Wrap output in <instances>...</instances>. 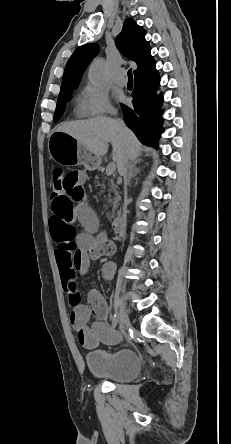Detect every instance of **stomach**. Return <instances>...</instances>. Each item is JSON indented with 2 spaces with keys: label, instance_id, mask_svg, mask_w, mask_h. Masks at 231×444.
I'll list each match as a JSON object with an SVG mask.
<instances>
[{
  "label": "stomach",
  "instance_id": "obj_1",
  "mask_svg": "<svg viewBox=\"0 0 231 444\" xmlns=\"http://www.w3.org/2000/svg\"><path fill=\"white\" fill-rule=\"evenodd\" d=\"M48 150L51 158L63 165L82 164L88 170H96L100 165V157L82 146L71 135L55 131L49 138Z\"/></svg>",
  "mask_w": 231,
  "mask_h": 444
}]
</instances>
